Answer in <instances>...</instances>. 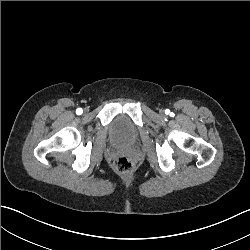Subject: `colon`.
<instances>
[{
    "label": "colon",
    "mask_w": 250,
    "mask_h": 250,
    "mask_svg": "<svg viewBox=\"0 0 250 250\" xmlns=\"http://www.w3.org/2000/svg\"><path fill=\"white\" fill-rule=\"evenodd\" d=\"M115 170L123 178H128L136 169V164L133 160L129 159L125 155H120L116 158L114 163Z\"/></svg>",
    "instance_id": "colon-1"
}]
</instances>
